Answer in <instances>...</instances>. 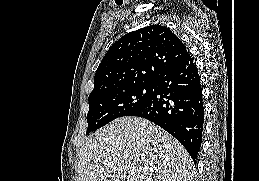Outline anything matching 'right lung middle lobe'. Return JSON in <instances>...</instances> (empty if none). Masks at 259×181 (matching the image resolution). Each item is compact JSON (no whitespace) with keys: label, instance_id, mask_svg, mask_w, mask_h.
I'll list each match as a JSON object with an SVG mask.
<instances>
[{"label":"right lung middle lobe","instance_id":"obj_1","mask_svg":"<svg viewBox=\"0 0 259 181\" xmlns=\"http://www.w3.org/2000/svg\"><path fill=\"white\" fill-rule=\"evenodd\" d=\"M153 89V83L138 84L109 89L89 96L86 134L116 118L130 116L147 102Z\"/></svg>","mask_w":259,"mask_h":181}]
</instances>
